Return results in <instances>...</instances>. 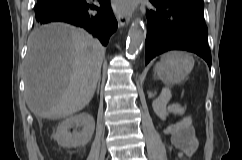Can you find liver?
Instances as JSON below:
<instances>
[{
	"label": "liver",
	"instance_id": "obj_1",
	"mask_svg": "<svg viewBox=\"0 0 242 160\" xmlns=\"http://www.w3.org/2000/svg\"><path fill=\"white\" fill-rule=\"evenodd\" d=\"M105 48L90 34L67 24L33 31L25 61V96L31 112L62 119L91 101L100 79Z\"/></svg>",
	"mask_w": 242,
	"mask_h": 160
}]
</instances>
